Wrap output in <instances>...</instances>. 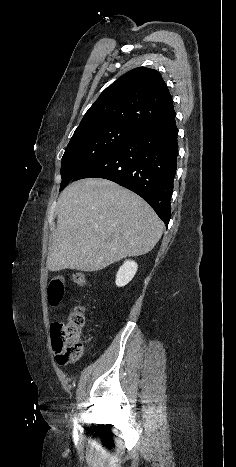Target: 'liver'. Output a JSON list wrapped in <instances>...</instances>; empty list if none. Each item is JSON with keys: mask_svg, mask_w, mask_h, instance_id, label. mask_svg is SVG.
Listing matches in <instances>:
<instances>
[{"mask_svg": "<svg viewBox=\"0 0 236 467\" xmlns=\"http://www.w3.org/2000/svg\"><path fill=\"white\" fill-rule=\"evenodd\" d=\"M163 228L154 210L134 192L106 179L74 182L58 199L47 268L104 269L127 256L150 252Z\"/></svg>", "mask_w": 236, "mask_h": 467, "instance_id": "6515ba94", "label": "liver"}]
</instances>
